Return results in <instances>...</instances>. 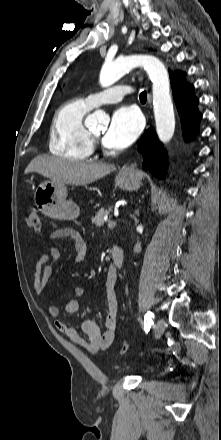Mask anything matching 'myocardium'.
<instances>
[{"label": "myocardium", "mask_w": 221, "mask_h": 440, "mask_svg": "<svg viewBox=\"0 0 221 440\" xmlns=\"http://www.w3.org/2000/svg\"><path fill=\"white\" fill-rule=\"evenodd\" d=\"M89 135H90V138H91V140H92V142H93V145H94V143L98 140V136H96L94 133H92V132H89Z\"/></svg>", "instance_id": "1"}]
</instances>
